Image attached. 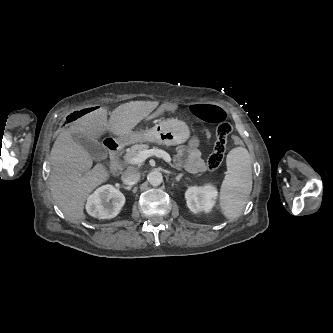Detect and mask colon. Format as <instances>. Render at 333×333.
Listing matches in <instances>:
<instances>
[{
  "label": "colon",
  "instance_id": "obj_1",
  "mask_svg": "<svg viewBox=\"0 0 333 333\" xmlns=\"http://www.w3.org/2000/svg\"><path fill=\"white\" fill-rule=\"evenodd\" d=\"M97 111L98 108L96 106L87 107L84 110L70 114L67 120L68 122H73L77 118L96 113ZM191 111L200 120L218 125L216 131V142L207 162L208 169L215 170L221 165L223 161L227 140L233 132V127L226 121L225 112L218 106L211 104H200L193 106ZM232 142L233 145L239 149L243 148L245 144L242 137L238 135L233 137Z\"/></svg>",
  "mask_w": 333,
  "mask_h": 333
}]
</instances>
